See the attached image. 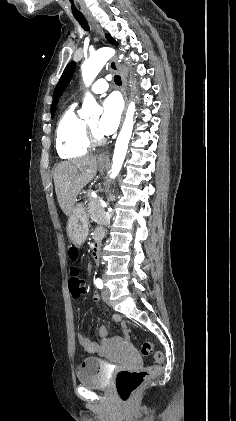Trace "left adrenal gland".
<instances>
[{
    "label": "left adrenal gland",
    "instance_id": "left-adrenal-gland-1",
    "mask_svg": "<svg viewBox=\"0 0 236 421\" xmlns=\"http://www.w3.org/2000/svg\"><path fill=\"white\" fill-rule=\"evenodd\" d=\"M109 200H114V196H112V194H110Z\"/></svg>",
    "mask_w": 236,
    "mask_h": 421
}]
</instances>
